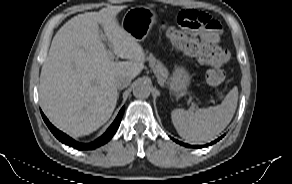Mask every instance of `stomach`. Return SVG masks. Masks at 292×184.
I'll use <instances>...</instances> for the list:
<instances>
[{
  "label": "stomach",
  "instance_id": "0dacf381",
  "mask_svg": "<svg viewBox=\"0 0 292 184\" xmlns=\"http://www.w3.org/2000/svg\"><path fill=\"white\" fill-rule=\"evenodd\" d=\"M156 22V14L148 7L138 6L130 8L122 20V28L137 41L144 40L153 24ZM190 76L187 70L178 66L173 71L169 85L175 93L183 92L188 86Z\"/></svg>",
  "mask_w": 292,
  "mask_h": 184
}]
</instances>
